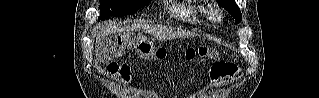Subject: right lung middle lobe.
<instances>
[{
    "mask_svg": "<svg viewBox=\"0 0 319 98\" xmlns=\"http://www.w3.org/2000/svg\"><path fill=\"white\" fill-rule=\"evenodd\" d=\"M149 2L150 0H100L98 20H105L110 16L122 17L132 14Z\"/></svg>",
    "mask_w": 319,
    "mask_h": 98,
    "instance_id": "right-lung-middle-lobe-1",
    "label": "right lung middle lobe"
}]
</instances>
